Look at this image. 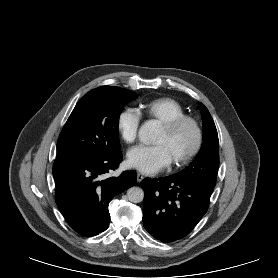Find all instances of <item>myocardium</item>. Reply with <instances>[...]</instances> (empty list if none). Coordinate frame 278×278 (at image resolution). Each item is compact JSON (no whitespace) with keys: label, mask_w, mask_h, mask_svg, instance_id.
<instances>
[{"label":"myocardium","mask_w":278,"mask_h":278,"mask_svg":"<svg viewBox=\"0 0 278 278\" xmlns=\"http://www.w3.org/2000/svg\"><path fill=\"white\" fill-rule=\"evenodd\" d=\"M190 125L194 131L195 140L192 148L180 158L171 162L173 167H182L192 161L200 152L203 145V130L200 123L193 117L188 115H183L177 117L167 123L162 124V130L167 135H172L178 131L182 126Z\"/></svg>","instance_id":"1"}]
</instances>
